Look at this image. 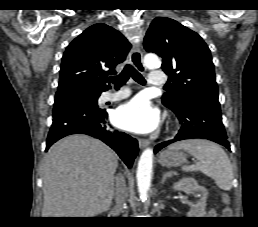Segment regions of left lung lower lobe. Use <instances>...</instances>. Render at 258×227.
<instances>
[{"mask_svg": "<svg viewBox=\"0 0 258 227\" xmlns=\"http://www.w3.org/2000/svg\"><path fill=\"white\" fill-rule=\"evenodd\" d=\"M171 110L177 115L181 128L174 139L158 144L155 153L171 143L192 138L208 139L230 150L218 100L195 99L181 109Z\"/></svg>", "mask_w": 258, "mask_h": 227, "instance_id": "left-lung-lower-lobe-1", "label": "left lung lower lobe"}]
</instances>
